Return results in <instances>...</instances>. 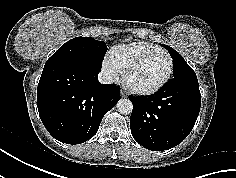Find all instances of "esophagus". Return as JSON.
<instances>
[{
    "instance_id": "obj_1",
    "label": "esophagus",
    "mask_w": 236,
    "mask_h": 178,
    "mask_svg": "<svg viewBox=\"0 0 236 178\" xmlns=\"http://www.w3.org/2000/svg\"><path fill=\"white\" fill-rule=\"evenodd\" d=\"M120 95H121L122 98L127 96V94L123 90H120Z\"/></svg>"
}]
</instances>
